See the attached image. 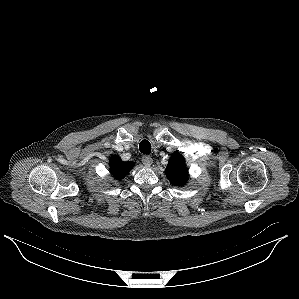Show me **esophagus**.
Segmentation results:
<instances>
[{"label": "esophagus", "instance_id": "esophagus-1", "mask_svg": "<svg viewBox=\"0 0 299 299\" xmlns=\"http://www.w3.org/2000/svg\"><path fill=\"white\" fill-rule=\"evenodd\" d=\"M142 163L146 166V167H150L153 163V159L150 156H143L142 157Z\"/></svg>", "mask_w": 299, "mask_h": 299}]
</instances>
